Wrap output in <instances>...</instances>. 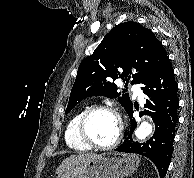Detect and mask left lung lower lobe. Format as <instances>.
Masks as SVG:
<instances>
[{
	"mask_svg": "<svg viewBox=\"0 0 194 178\" xmlns=\"http://www.w3.org/2000/svg\"><path fill=\"white\" fill-rule=\"evenodd\" d=\"M142 84L144 85L143 93L149 98L146 100L145 107L150 111L146 110V113L152 117L155 123L154 135L143 144L132 142V133L137 126L133 117L132 105L126 111L131 122L130 134L115 151L146 156L156 165L160 178H164L172 157V144L178 121L177 108L179 104L178 86L169 57L158 71Z\"/></svg>",
	"mask_w": 194,
	"mask_h": 178,
	"instance_id": "left-lung-lower-lobe-1",
	"label": "left lung lower lobe"
}]
</instances>
